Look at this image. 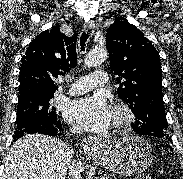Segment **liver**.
I'll list each match as a JSON object with an SVG mask.
<instances>
[{
	"label": "liver",
	"instance_id": "obj_1",
	"mask_svg": "<svg viewBox=\"0 0 183 179\" xmlns=\"http://www.w3.org/2000/svg\"><path fill=\"white\" fill-rule=\"evenodd\" d=\"M72 157V149L62 141L27 134L10 148L1 179H65Z\"/></svg>",
	"mask_w": 183,
	"mask_h": 179
}]
</instances>
